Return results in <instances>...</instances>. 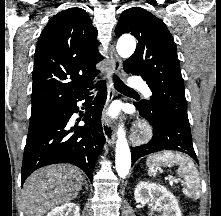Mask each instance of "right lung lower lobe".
<instances>
[{
	"mask_svg": "<svg viewBox=\"0 0 221 216\" xmlns=\"http://www.w3.org/2000/svg\"><path fill=\"white\" fill-rule=\"evenodd\" d=\"M88 91L51 110L49 119L34 134L27 136L21 170L22 184L36 169L57 163H70L92 177L95 160L104 146L100 121L107 97L106 86H100L95 100L85 102V126L69 125L73 113L79 112L78 101L89 100ZM81 113V112H80ZM74 132V133H73ZM92 181V179H91Z\"/></svg>",
	"mask_w": 221,
	"mask_h": 216,
	"instance_id": "1",
	"label": "right lung lower lobe"
}]
</instances>
